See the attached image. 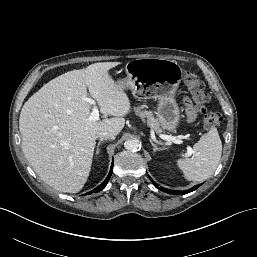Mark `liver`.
Segmentation results:
<instances>
[{"label":"liver","mask_w":257,"mask_h":257,"mask_svg":"<svg viewBox=\"0 0 257 257\" xmlns=\"http://www.w3.org/2000/svg\"><path fill=\"white\" fill-rule=\"evenodd\" d=\"M119 64L94 63L68 71L44 84L22 107V151L38 176L57 191L79 192L89 177L98 134H118L124 128L131 103L108 73ZM87 91L101 113L114 118L89 120Z\"/></svg>","instance_id":"1"}]
</instances>
